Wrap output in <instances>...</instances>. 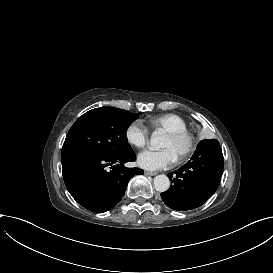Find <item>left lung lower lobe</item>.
Here are the masks:
<instances>
[{
	"mask_svg": "<svg viewBox=\"0 0 273 273\" xmlns=\"http://www.w3.org/2000/svg\"><path fill=\"white\" fill-rule=\"evenodd\" d=\"M222 149L216 139L199 142L191 159L175 172L169 173L172 185L161 193L171 209L186 211L203 205L218 188L223 174Z\"/></svg>",
	"mask_w": 273,
	"mask_h": 273,
	"instance_id": "obj_1",
	"label": "left lung lower lobe"
}]
</instances>
